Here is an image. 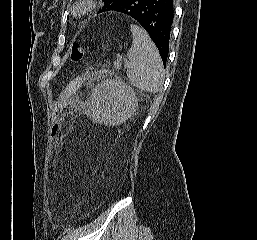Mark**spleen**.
Masks as SVG:
<instances>
[{
  "instance_id": "1",
  "label": "spleen",
  "mask_w": 257,
  "mask_h": 240,
  "mask_svg": "<svg viewBox=\"0 0 257 240\" xmlns=\"http://www.w3.org/2000/svg\"><path fill=\"white\" fill-rule=\"evenodd\" d=\"M133 41L127 52V76L134 87L150 93L163 89L164 69L159 51L147 32L131 25Z\"/></svg>"
}]
</instances>
